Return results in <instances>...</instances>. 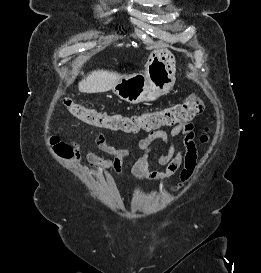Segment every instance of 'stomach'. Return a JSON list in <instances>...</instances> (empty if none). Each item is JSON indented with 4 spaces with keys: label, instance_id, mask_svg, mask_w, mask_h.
Listing matches in <instances>:
<instances>
[{
    "label": "stomach",
    "instance_id": "stomach-1",
    "mask_svg": "<svg viewBox=\"0 0 261 273\" xmlns=\"http://www.w3.org/2000/svg\"><path fill=\"white\" fill-rule=\"evenodd\" d=\"M176 61L167 49L150 53L143 73L122 77L113 87V92L132 104L155 101L167 94L175 83Z\"/></svg>",
    "mask_w": 261,
    "mask_h": 273
}]
</instances>
